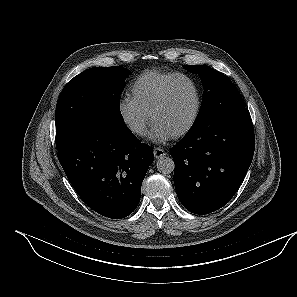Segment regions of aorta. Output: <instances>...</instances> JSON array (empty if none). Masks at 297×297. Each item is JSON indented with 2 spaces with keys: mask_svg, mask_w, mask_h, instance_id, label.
I'll use <instances>...</instances> for the list:
<instances>
[{
  "mask_svg": "<svg viewBox=\"0 0 297 297\" xmlns=\"http://www.w3.org/2000/svg\"><path fill=\"white\" fill-rule=\"evenodd\" d=\"M157 170L162 174H170L175 169V164L172 158L162 156L157 160Z\"/></svg>",
  "mask_w": 297,
  "mask_h": 297,
  "instance_id": "1",
  "label": "aorta"
}]
</instances>
